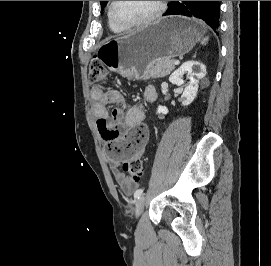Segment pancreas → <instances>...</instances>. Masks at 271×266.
<instances>
[{
	"label": "pancreas",
	"mask_w": 271,
	"mask_h": 266,
	"mask_svg": "<svg viewBox=\"0 0 271 266\" xmlns=\"http://www.w3.org/2000/svg\"><path fill=\"white\" fill-rule=\"evenodd\" d=\"M174 60L169 58H162L152 61L147 66V77L162 78L170 74L174 69Z\"/></svg>",
	"instance_id": "1"
}]
</instances>
